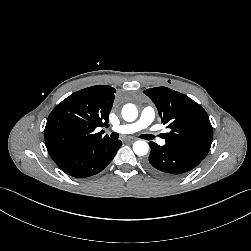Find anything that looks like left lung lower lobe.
<instances>
[{
	"label": "left lung lower lobe",
	"mask_w": 251,
	"mask_h": 251,
	"mask_svg": "<svg viewBox=\"0 0 251 251\" xmlns=\"http://www.w3.org/2000/svg\"><path fill=\"white\" fill-rule=\"evenodd\" d=\"M151 153L146 161V168L155 176L164 180H173L196 167L204 158L191 152L149 143Z\"/></svg>",
	"instance_id": "0a47b994"
}]
</instances>
